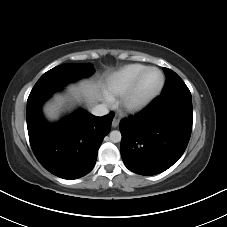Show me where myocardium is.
<instances>
[{
	"mask_svg": "<svg viewBox=\"0 0 227 227\" xmlns=\"http://www.w3.org/2000/svg\"><path fill=\"white\" fill-rule=\"evenodd\" d=\"M156 70L160 73L161 81L159 86L150 94L140 97L138 96V89L144 75L150 71ZM165 86V75L161 69L154 66H148L142 70L136 77L134 83L129 90L122 97V107L129 113H138L148 107L162 92Z\"/></svg>",
	"mask_w": 227,
	"mask_h": 227,
	"instance_id": "1",
	"label": "myocardium"
}]
</instances>
